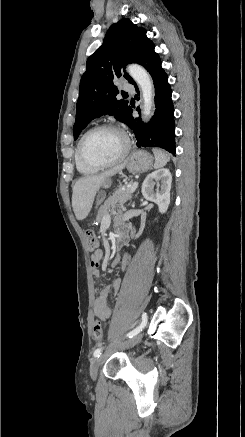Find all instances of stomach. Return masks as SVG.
<instances>
[{
	"label": "stomach",
	"instance_id": "1",
	"mask_svg": "<svg viewBox=\"0 0 245 437\" xmlns=\"http://www.w3.org/2000/svg\"><path fill=\"white\" fill-rule=\"evenodd\" d=\"M152 162L153 158L148 152L138 150L130 154L126 162V168L132 174H141L151 168ZM104 198L105 193L103 191L99 192L96 199L97 205H99Z\"/></svg>",
	"mask_w": 245,
	"mask_h": 437
}]
</instances>
